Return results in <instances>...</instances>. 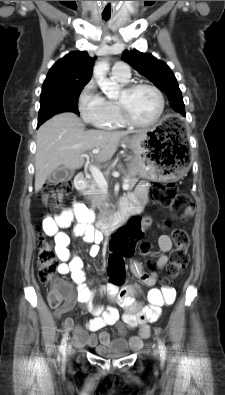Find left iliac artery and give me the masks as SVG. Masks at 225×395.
I'll return each instance as SVG.
<instances>
[{
    "label": "left iliac artery",
    "mask_w": 225,
    "mask_h": 395,
    "mask_svg": "<svg viewBox=\"0 0 225 395\" xmlns=\"http://www.w3.org/2000/svg\"><path fill=\"white\" fill-rule=\"evenodd\" d=\"M158 344H159V349H160V354H161V356L162 357H165V346H164V344H163V342L160 340V339H158Z\"/></svg>",
    "instance_id": "obj_1"
}]
</instances>
